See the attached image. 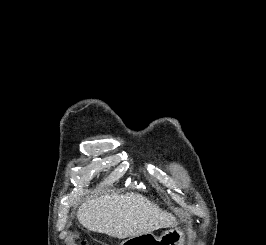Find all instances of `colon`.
<instances>
[{
	"label": "colon",
	"mask_w": 266,
	"mask_h": 245,
	"mask_svg": "<svg viewBox=\"0 0 266 245\" xmlns=\"http://www.w3.org/2000/svg\"><path fill=\"white\" fill-rule=\"evenodd\" d=\"M76 245H86V242L81 238V235H75Z\"/></svg>",
	"instance_id": "1"
}]
</instances>
